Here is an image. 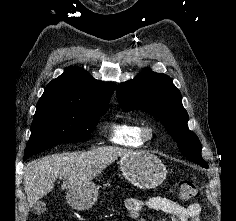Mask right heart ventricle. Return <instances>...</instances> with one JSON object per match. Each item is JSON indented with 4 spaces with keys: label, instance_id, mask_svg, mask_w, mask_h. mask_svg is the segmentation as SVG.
I'll use <instances>...</instances> for the list:
<instances>
[{
    "label": "right heart ventricle",
    "instance_id": "obj_1",
    "mask_svg": "<svg viewBox=\"0 0 236 221\" xmlns=\"http://www.w3.org/2000/svg\"><path fill=\"white\" fill-rule=\"evenodd\" d=\"M143 124L135 120H120L112 123L110 139L113 143L129 148H139L145 143Z\"/></svg>",
    "mask_w": 236,
    "mask_h": 221
}]
</instances>
